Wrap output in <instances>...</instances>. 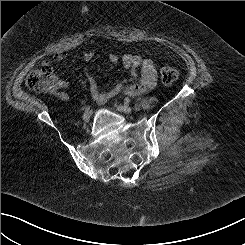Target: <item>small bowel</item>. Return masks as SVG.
Masks as SVG:
<instances>
[{"mask_svg": "<svg viewBox=\"0 0 245 245\" xmlns=\"http://www.w3.org/2000/svg\"><path fill=\"white\" fill-rule=\"evenodd\" d=\"M65 57V52H59L55 54L54 61L60 62L64 60ZM84 57L85 59L90 60L93 57V53L86 52ZM109 59L113 64L121 62L123 66L129 70L131 78L128 82L118 83L106 91H100L94 79L88 72H85L91 97L97 103H106L109 99L119 94L128 96L145 94L155 87L157 81V69L151 59L139 54H125L122 57L111 54ZM43 64H50V62L44 61ZM138 71L140 72L139 75Z\"/></svg>", "mask_w": 245, "mask_h": 245, "instance_id": "1", "label": "small bowel"}]
</instances>
